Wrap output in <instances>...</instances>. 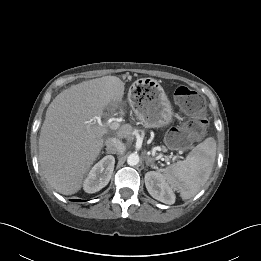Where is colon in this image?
<instances>
[{
    "label": "colon",
    "mask_w": 261,
    "mask_h": 261,
    "mask_svg": "<svg viewBox=\"0 0 261 261\" xmlns=\"http://www.w3.org/2000/svg\"><path fill=\"white\" fill-rule=\"evenodd\" d=\"M175 101L180 109L190 116L181 127L169 132L167 143L174 148L188 145L192 140L204 136L207 121L204 114V99L194 90L180 86L174 92Z\"/></svg>",
    "instance_id": "5ec220e1"
}]
</instances>
